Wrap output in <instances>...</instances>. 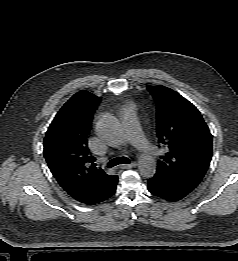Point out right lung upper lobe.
I'll return each instance as SVG.
<instances>
[{"mask_svg": "<svg viewBox=\"0 0 238 261\" xmlns=\"http://www.w3.org/2000/svg\"><path fill=\"white\" fill-rule=\"evenodd\" d=\"M100 98L81 90L59 110L44 138V157L59 185L75 200L90 204L117 178L94 163L88 150L93 114Z\"/></svg>", "mask_w": 238, "mask_h": 261, "instance_id": "1", "label": "right lung upper lobe"}]
</instances>
